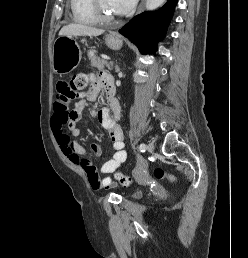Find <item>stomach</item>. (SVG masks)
<instances>
[{
    "label": "stomach",
    "instance_id": "stomach-1",
    "mask_svg": "<svg viewBox=\"0 0 248 258\" xmlns=\"http://www.w3.org/2000/svg\"><path fill=\"white\" fill-rule=\"evenodd\" d=\"M106 44L113 50H119L123 42L116 33L106 36ZM82 52L76 40L71 36H60L53 44L52 66L56 73L63 75L73 71L80 63Z\"/></svg>",
    "mask_w": 248,
    "mask_h": 258
}]
</instances>
